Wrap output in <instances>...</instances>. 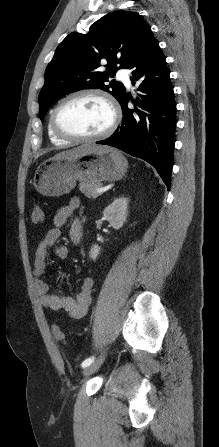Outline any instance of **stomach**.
<instances>
[{"instance_id":"0dacf381","label":"stomach","mask_w":219,"mask_h":447,"mask_svg":"<svg viewBox=\"0 0 219 447\" xmlns=\"http://www.w3.org/2000/svg\"><path fill=\"white\" fill-rule=\"evenodd\" d=\"M127 166L126 158L118 150L94 145L77 157L47 159L38 166L33 184L44 196H60L69 193L77 180L87 183L119 180Z\"/></svg>"}]
</instances>
